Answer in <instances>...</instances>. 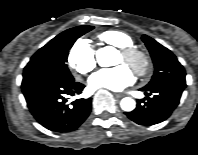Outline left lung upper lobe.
<instances>
[{"label":"left lung upper lobe","instance_id":"left-lung-upper-lobe-1","mask_svg":"<svg viewBox=\"0 0 198 155\" xmlns=\"http://www.w3.org/2000/svg\"><path fill=\"white\" fill-rule=\"evenodd\" d=\"M142 40L151 54L155 67L151 81L144 88L170 82L186 83L185 70L169 49L146 35H143Z\"/></svg>","mask_w":198,"mask_h":155}]
</instances>
